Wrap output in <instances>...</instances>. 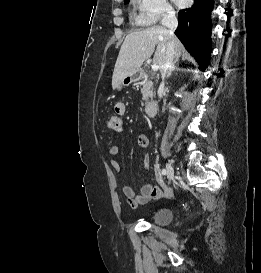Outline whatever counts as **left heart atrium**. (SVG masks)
Wrapping results in <instances>:
<instances>
[{
    "label": "left heart atrium",
    "instance_id": "left-heart-atrium-1",
    "mask_svg": "<svg viewBox=\"0 0 261 273\" xmlns=\"http://www.w3.org/2000/svg\"><path fill=\"white\" fill-rule=\"evenodd\" d=\"M175 2L178 4V5H182L184 0H175Z\"/></svg>",
    "mask_w": 261,
    "mask_h": 273
}]
</instances>
